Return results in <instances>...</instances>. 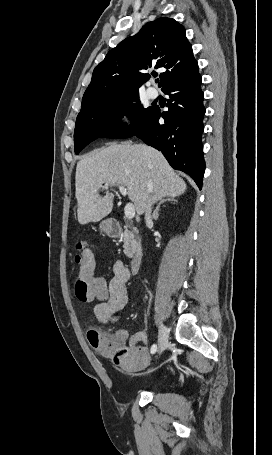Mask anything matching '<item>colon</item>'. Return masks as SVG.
Returning <instances> with one entry per match:
<instances>
[{"mask_svg": "<svg viewBox=\"0 0 272 455\" xmlns=\"http://www.w3.org/2000/svg\"><path fill=\"white\" fill-rule=\"evenodd\" d=\"M76 262L81 267V275L75 284L76 297L81 301L104 300L107 296V284L103 277L95 274V257L83 242L76 246ZM90 344L105 354L111 364L124 370L128 363V351L115 338L101 334L96 329L87 333Z\"/></svg>", "mask_w": 272, "mask_h": 455, "instance_id": "1", "label": "colon"}]
</instances>
